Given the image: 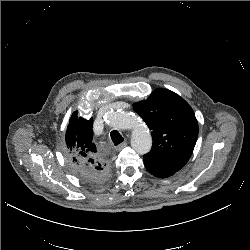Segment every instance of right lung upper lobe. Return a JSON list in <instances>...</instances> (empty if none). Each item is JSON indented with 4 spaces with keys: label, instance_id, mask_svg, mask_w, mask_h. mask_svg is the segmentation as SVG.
I'll list each match as a JSON object with an SVG mask.
<instances>
[{
    "label": "right lung upper lobe",
    "instance_id": "right-lung-upper-lobe-1",
    "mask_svg": "<svg viewBox=\"0 0 250 250\" xmlns=\"http://www.w3.org/2000/svg\"><path fill=\"white\" fill-rule=\"evenodd\" d=\"M75 111L66 130L65 154L69 162L84 170L102 171L109 169V161L100 154L93 139V118L86 120Z\"/></svg>",
    "mask_w": 250,
    "mask_h": 250
}]
</instances>
